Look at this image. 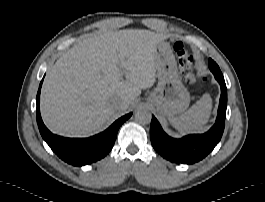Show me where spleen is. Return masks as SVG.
<instances>
[{
    "label": "spleen",
    "mask_w": 265,
    "mask_h": 202,
    "mask_svg": "<svg viewBox=\"0 0 265 202\" xmlns=\"http://www.w3.org/2000/svg\"><path fill=\"white\" fill-rule=\"evenodd\" d=\"M212 109V99L209 94H204L184 114L170 117L169 122L182 134L199 133L208 122Z\"/></svg>",
    "instance_id": "3e777b00"
}]
</instances>
